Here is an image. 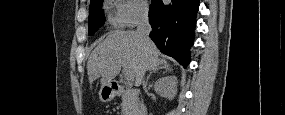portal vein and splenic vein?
<instances>
[{
    "label": "portal vein and splenic vein",
    "mask_w": 285,
    "mask_h": 115,
    "mask_svg": "<svg viewBox=\"0 0 285 115\" xmlns=\"http://www.w3.org/2000/svg\"><path fill=\"white\" fill-rule=\"evenodd\" d=\"M123 70L125 71V78L128 82L134 79L132 72L128 69L126 65H123Z\"/></svg>",
    "instance_id": "1"
}]
</instances>
